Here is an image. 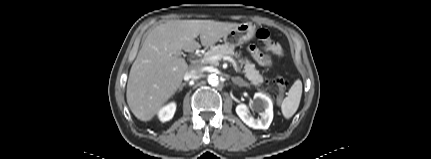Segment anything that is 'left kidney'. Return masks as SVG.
I'll use <instances>...</instances> for the list:
<instances>
[{
  "mask_svg": "<svg viewBox=\"0 0 431 159\" xmlns=\"http://www.w3.org/2000/svg\"><path fill=\"white\" fill-rule=\"evenodd\" d=\"M253 108L260 112L261 118L255 119L249 114V109L245 104L236 107V113L240 119L253 129H268L273 120V103L271 99L262 93L254 95Z\"/></svg>",
  "mask_w": 431,
  "mask_h": 159,
  "instance_id": "5707ae66",
  "label": "left kidney"
}]
</instances>
